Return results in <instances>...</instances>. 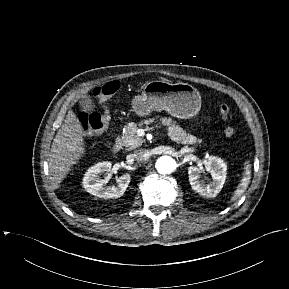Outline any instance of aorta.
<instances>
[{
    "instance_id": "aorta-1",
    "label": "aorta",
    "mask_w": 289,
    "mask_h": 289,
    "mask_svg": "<svg viewBox=\"0 0 289 289\" xmlns=\"http://www.w3.org/2000/svg\"><path fill=\"white\" fill-rule=\"evenodd\" d=\"M155 167L160 174H170L176 169V162L170 156H161L156 161Z\"/></svg>"
}]
</instances>
